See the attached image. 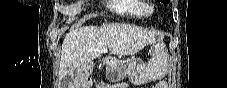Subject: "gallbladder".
<instances>
[{"label": "gallbladder", "instance_id": "obj_1", "mask_svg": "<svg viewBox=\"0 0 227 88\" xmlns=\"http://www.w3.org/2000/svg\"><path fill=\"white\" fill-rule=\"evenodd\" d=\"M72 79H73V74H68L61 80L60 87L67 88L70 85Z\"/></svg>", "mask_w": 227, "mask_h": 88}]
</instances>
